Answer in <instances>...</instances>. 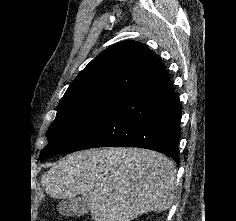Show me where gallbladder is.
<instances>
[{"label": "gallbladder", "mask_w": 236, "mask_h": 221, "mask_svg": "<svg viewBox=\"0 0 236 221\" xmlns=\"http://www.w3.org/2000/svg\"><path fill=\"white\" fill-rule=\"evenodd\" d=\"M58 211L66 217L81 216L88 212V204L81 196L63 199L58 203Z\"/></svg>", "instance_id": "1"}]
</instances>
